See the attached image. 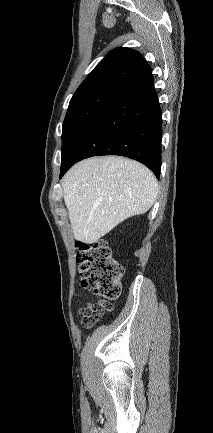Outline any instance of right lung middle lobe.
Segmentation results:
<instances>
[{"label": "right lung middle lobe", "mask_w": 213, "mask_h": 433, "mask_svg": "<svg viewBox=\"0 0 213 433\" xmlns=\"http://www.w3.org/2000/svg\"><path fill=\"white\" fill-rule=\"evenodd\" d=\"M118 96L119 93L105 92L69 103L62 126L61 156L68 150L71 143L88 123Z\"/></svg>", "instance_id": "right-lung-middle-lobe-1"}]
</instances>
